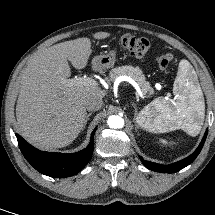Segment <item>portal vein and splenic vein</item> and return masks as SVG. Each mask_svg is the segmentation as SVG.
<instances>
[{
    "label": "portal vein and splenic vein",
    "mask_w": 215,
    "mask_h": 215,
    "mask_svg": "<svg viewBox=\"0 0 215 215\" xmlns=\"http://www.w3.org/2000/svg\"><path fill=\"white\" fill-rule=\"evenodd\" d=\"M65 84L68 86H97L98 85V83L94 79L86 76L67 79L65 80ZM134 84L135 86H137L136 83Z\"/></svg>",
    "instance_id": "1"
}]
</instances>
